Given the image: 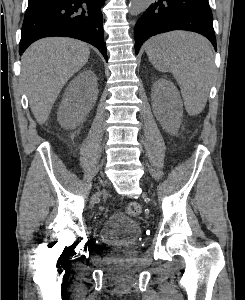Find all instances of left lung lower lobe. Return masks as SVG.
Returning <instances> with one entry per match:
<instances>
[{"label": "left lung lower lobe", "mask_w": 245, "mask_h": 300, "mask_svg": "<svg viewBox=\"0 0 245 300\" xmlns=\"http://www.w3.org/2000/svg\"><path fill=\"white\" fill-rule=\"evenodd\" d=\"M213 15L208 0H157L135 25V52L150 37L172 31L187 30L207 37L215 50Z\"/></svg>", "instance_id": "obj_1"}]
</instances>
